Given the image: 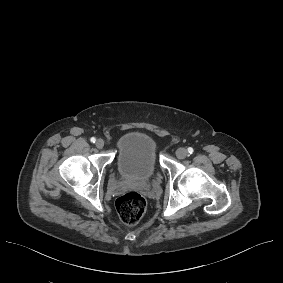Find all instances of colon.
<instances>
[{"mask_svg": "<svg viewBox=\"0 0 283 283\" xmlns=\"http://www.w3.org/2000/svg\"><path fill=\"white\" fill-rule=\"evenodd\" d=\"M116 209L121 221L127 225L136 224L146 211V200L137 192H128L116 199Z\"/></svg>", "mask_w": 283, "mask_h": 283, "instance_id": "5ec220e1", "label": "colon"}]
</instances>
